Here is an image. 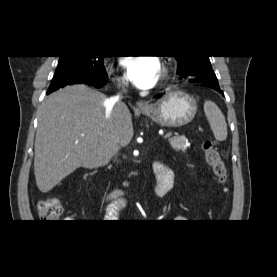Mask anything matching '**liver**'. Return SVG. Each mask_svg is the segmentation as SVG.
I'll return each mask as SVG.
<instances>
[{
    "label": "liver",
    "mask_w": 277,
    "mask_h": 277,
    "mask_svg": "<svg viewBox=\"0 0 277 277\" xmlns=\"http://www.w3.org/2000/svg\"><path fill=\"white\" fill-rule=\"evenodd\" d=\"M106 97L86 85L52 93L38 111L34 175L42 193L52 190L77 168L105 166L133 137L127 106L105 115Z\"/></svg>",
    "instance_id": "obj_1"
}]
</instances>
